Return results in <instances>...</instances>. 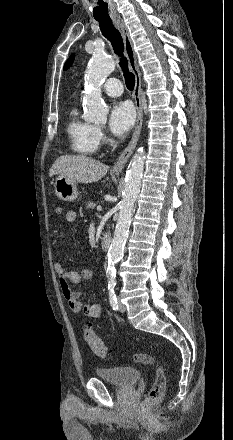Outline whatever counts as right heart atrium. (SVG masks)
I'll return each instance as SVG.
<instances>
[{"label": "right heart atrium", "instance_id": "right-heart-atrium-1", "mask_svg": "<svg viewBox=\"0 0 233 440\" xmlns=\"http://www.w3.org/2000/svg\"><path fill=\"white\" fill-rule=\"evenodd\" d=\"M96 131H97V138H98V141H99V142H103V141L105 140L104 133H103L102 130L99 129V128H97Z\"/></svg>", "mask_w": 233, "mask_h": 440}]
</instances>
